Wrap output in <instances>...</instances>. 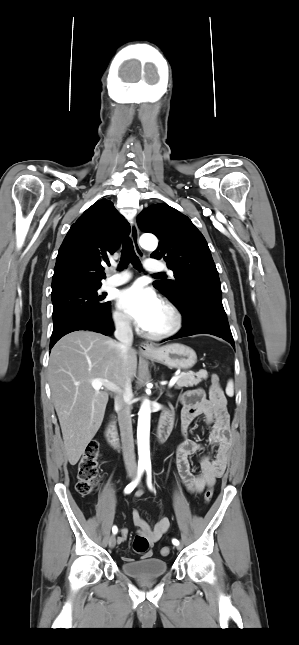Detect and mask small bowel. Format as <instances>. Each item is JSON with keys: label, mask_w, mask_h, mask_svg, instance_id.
<instances>
[{"label": "small bowel", "mask_w": 299, "mask_h": 645, "mask_svg": "<svg viewBox=\"0 0 299 645\" xmlns=\"http://www.w3.org/2000/svg\"><path fill=\"white\" fill-rule=\"evenodd\" d=\"M181 403L183 405L181 427L184 440L176 451V467L187 490L192 494H200L205 488L214 485L216 479L224 474L228 464L232 438L227 400L222 390L211 389L207 397L202 389H194L182 395ZM199 416H203L205 423L211 426L207 445L212 452L201 454L198 459V470L195 472L192 470L190 457L200 453L202 446L189 438L188 433L192 422ZM141 496L142 492L137 491L136 498ZM132 519L138 528V535L148 540L149 547L154 546L170 527V520L166 516L160 517L151 527L138 510L133 511ZM127 537L128 530L122 528L119 542H125ZM151 556V550L142 554L144 559ZM122 559L124 561L132 560L127 556Z\"/></svg>", "instance_id": "1"}]
</instances>
